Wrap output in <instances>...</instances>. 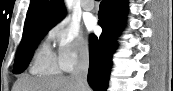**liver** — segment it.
I'll return each instance as SVG.
<instances>
[{
  "mask_svg": "<svg viewBox=\"0 0 173 91\" xmlns=\"http://www.w3.org/2000/svg\"><path fill=\"white\" fill-rule=\"evenodd\" d=\"M13 91H79V88L71 76H22L16 81ZM87 91H91L90 88Z\"/></svg>",
  "mask_w": 173,
  "mask_h": 91,
  "instance_id": "liver-1",
  "label": "liver"
}]
</instances>
